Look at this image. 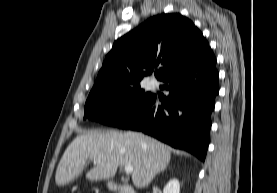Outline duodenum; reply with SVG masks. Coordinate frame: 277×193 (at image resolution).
<instances>
[{
	"label": "duodenum",
	"mask_w": 277,
	"mask_h": 193,
	"mask_svg": "<svg viewBox=\"0 0 277 193\" xmlns=\"http://www.w3.org/2000/svg\"><path fill=\"white\" fill-rule=\"evenodd\" d=\"M113 188L117 193H136L133 187L127 184L114 185Z\"/></svg>",
	"instance_id": "1"
}]
</instances>
